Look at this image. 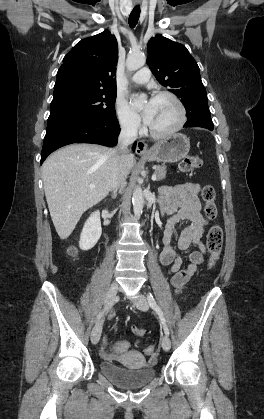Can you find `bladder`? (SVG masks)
Here are the masks:
<instances>
[{"mask_svg": "<svg viewBox=\"0 0 264 419\" xmlns=\"http://www.w3.org/2000/svg\"><path fill=\"white\" fill-rule=\"evenodd\" d=\"M100 372L111 382L124 389H137L149 384L156 376L153 367L143 363L140 367L119 366L109 361L99 363Z\"/></svg>", "mask_w": 264, "mask_h": 419, "instance_id": "obj_1", "label": "bladder"}]
</instances>
